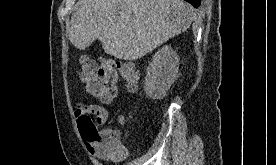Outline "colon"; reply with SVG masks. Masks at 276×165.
I'll list each match as a JSON object with an SVG mask.
<instances>
[{
    "instance_id": "obj_1",
    "label": "colon",
    "mask_w": 276,
    "mask_h": 165,
    "mask_svg": "<svg viewBox=\"0 0 276 165\" xmlns=\"http://www.w3.org/2000/svg\"><path fill=\"white\" fill-rule=\"evenodd\" d=\"M122 78L127 87L134 90L138 83V72L128 62L103 59L100 64L89 57H82L80 79L87 93L102 102H111L117 95L118 81ZM81 135L88 146L103 144L116 154L121 153L119 143L112 132L102 130L100 124L83 116L78 121Z\"/></svg>"
}]
</instances>
